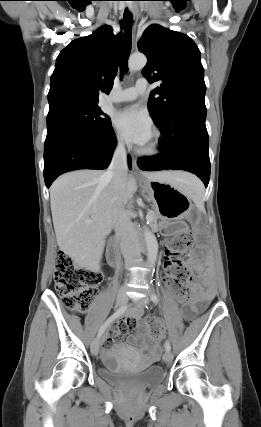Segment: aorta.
<instances>
[{
  "label": "aorta",
  "mask_w": 261,
  "mask_h": 427,
  "mask_svg": "<svg viewBox=\"0 0 261 427\" xmlns=\"http://www.w3.org/2000/svg\"><path fill=\"white\" fill-rule=\"evenodd\" d=\"M147 63V58L143 54H134L129 58L128 69L130 72L141 70ZM144 238L147 248V260L149 267H153L158 255V242L152 231L145 228Z\"/></svg>",
  "instance_id": "aorta-1"
}]
</instances>
